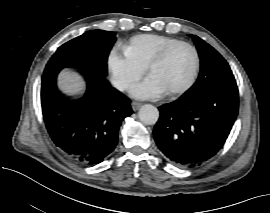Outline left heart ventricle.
<instances>
[{
  "label": "left heart ventricle",
  "instance_id": "b2bd125f",
  "mask_svg": "<svg viewBox=\"0 0 270 213\" xmlns=\"http://www.w3.org/2000/svg\"><path fill=\"white\" fill-rule=\"evenodd\" d=\"M194 65L193 51L181 46L171 51L150 74L157 79L164 91H172L182 87L189 80Z\"/></svg>",
  "mask_w": 270,
  "mask_h": 213
}]
</instances>
